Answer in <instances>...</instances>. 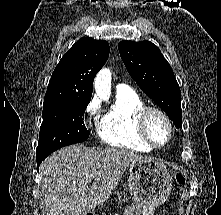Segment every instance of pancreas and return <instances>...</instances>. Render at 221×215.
Instances as JSON below:
<instances>
[{
    "instance_id": "1",
    "label": "pancreas",
    "mask_w": 221,
    "mask_h": 215,
    "mask_svg": "<svg viewBox=\"0 0 221 215\" xmlns=\"http://www.w3.org/2000/svg\"><path fill=\"white\" fill-rule=\"evenodd\" d=\"M117 195H118L120 203H124L129 200V198L127 197L125 193H118Z\"/></svg>"
}]
</instances>
